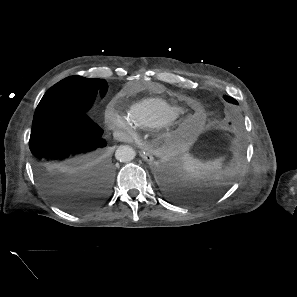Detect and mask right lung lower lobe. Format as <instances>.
Here are the masks:
<instances>
[{"mask_svg":"<svg viewBox=\"0 0 297 297\" xmlns=\"http://www.w3.org/2000/svg\"><path fill=\"white\" fill-rule=\"evenodd\" d=\"M103 130L88 115L69 112L32 126L29 148L37 180L59 207L83 212L109 196L113 166Z\"/></svg>","mask_w":297,"mask_h":297,"instance_id":"98d812e1","label":"right lung lower lobe"}]
</instances>
